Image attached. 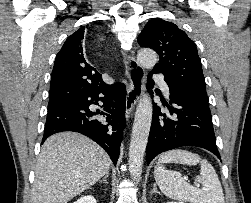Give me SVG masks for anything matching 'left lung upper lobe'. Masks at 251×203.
<instances>
[{
  "label": "left lung upper lobe",
  "instance_id": "left-lung-upper-lobe-1",
  "mask_svg": "<svg viewBox=\"0 0 251 203\" xmlns=\"http://www.w3.org/2000/svg\"><path fill=\"white\" fill-rule=\"evenodd\" d=\"M141 47L153 48L160 60L153 70L164 75L173 90L189 93L208 105L201 60L195 43L177 25L151 19L138 36Z\"/></svg>",
  "mask_w": 251,
  "mask_h": 203
}]
</instances>
